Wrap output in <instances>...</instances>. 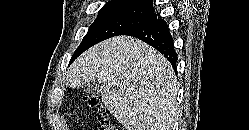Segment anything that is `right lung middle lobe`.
<instances>
[{
    "label": "right lung middle lobe",
    "instance_id": "1",
    "mask_svg": "<svg viewBox=\"0 0 249 130\" xmlns=\"http://www.w3.org/2000/svg\"><path fill=\"white\" fill-rule=\"evenodd\" d=\"M155 19L157 15L152 11L129 6L104 5L74 52L71 62L91 46L110 37L123 35Z\"/></svg>",
    "mask_w": 249,
    "mask_h": 130
}]
</instances>
